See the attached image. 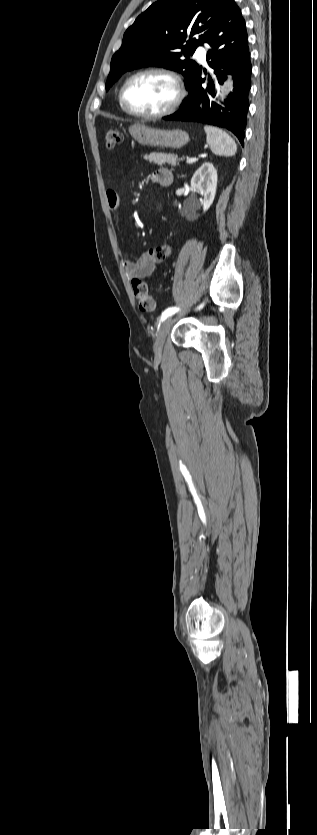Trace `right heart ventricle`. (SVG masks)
Listing matches in <instances>:
<instances>
[{
  "label": "right heart ventricle",
  "mask_w": 317,
  "mask_h": 835,
  "mask_svg": "<svg viewBox=\"0 0 317 835\" xmlns=\"http://www.w3.org/2000/svg\"><path fill=\"white\" fill-rule=\"evenodd\" d=\"M120 107L123 109V107H122L121 103H120ZM123 110H124V109H123Z\"/></svg>",
  "instance_id": "obj_1"
}]
</instances>
